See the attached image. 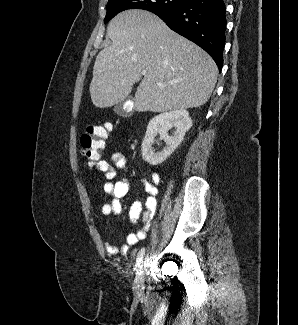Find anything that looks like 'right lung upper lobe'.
I'll return each instance as SVG.
<instances>
[{"instance_id":"right-lung-upper-lobe-1","label":"right lung upper lobe","mask_w":298,"mask_h":325,"mask_svg":"<svg viewBox=\"0 0 298 325\" xmlns=\"http://www.w3.org/2000/svg\"><path fill=\"white\" fill-rule=\"evenodd\" d=\"M110 1H112V0H109L108 2H110ZM158 12H160V11H157V12H155V13H158Z\"/></svg>"}]
</instances>
